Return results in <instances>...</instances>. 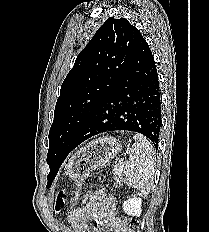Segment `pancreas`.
I'll return each instance as SVG.
<instances>
[{"mask_svg":"<svg viewBox=\"0 0 209 232\" xmlns=\"http://www.w3.org/2000/svg\"><path fill=\"white\" fill-rule=\"evenodd\" d=\"M122 171H123L122 165H117L114 169L113 179L115 181L116 186H119L121 184Z\"/></svg>","mask_w":209,"mask_h":232,"instance_id":"1","label":"pancreas"}]
</instances>
